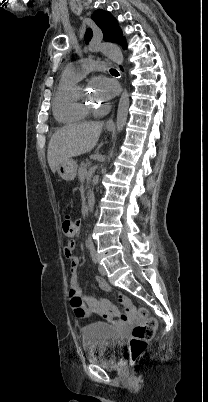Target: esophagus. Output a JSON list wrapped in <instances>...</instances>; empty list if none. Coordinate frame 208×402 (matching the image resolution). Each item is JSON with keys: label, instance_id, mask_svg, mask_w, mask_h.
Wrapping results in <instances>:
<instances>
[{"label": "esophagus", "instance_id": "34e87169", "mask_svg": "<svg viewBox=\"0 0 208 402\" xmlns=\"http://www.w3.org/2000/svg\"><path fill=\"white\" fill-rule=\"evenodd\" d=\"M106 125H109V126H114V121H113V119L112 118H110L107 122H106Z\"/></svg>", "mask_w": 208, "mask_h": 402}]
</instances>
